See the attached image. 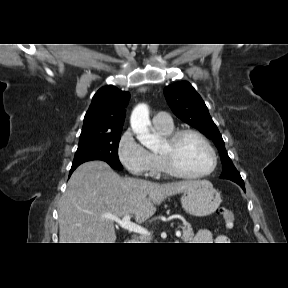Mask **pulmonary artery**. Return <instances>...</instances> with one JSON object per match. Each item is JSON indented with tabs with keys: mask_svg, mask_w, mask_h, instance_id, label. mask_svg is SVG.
<instances>
[{
	"mask_svg": "<svg viewBox=\"0 0 288 288\" xmlns=\"http://www.w3.org/2000/svg\"><path fill=\"white\" fill-rule=\"evenodd\" d=\"M153 124L156 128L169 129L173 126L171 116L167 112H159L153 118Z\"/></svg>",
	"mask_w": 288,
	"mask_h": 288,
	"instance_id": "pulmonary-artery-1",
	"label": "pulmonary artery"
}]
</instances>
